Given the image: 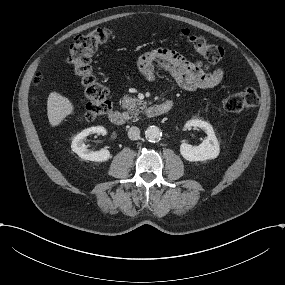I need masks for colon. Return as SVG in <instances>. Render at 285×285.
<instances>
[{"label": "colon", "instance_id": "colon-1", "mask_svg": "<svg viewBox=\"0 0 285 285\" xmlns=\"http://www.w3.org/2000/svg\"><path fill=\"white\" fill-rule=\"evenodd\" d=\"M183 35L188 39L192 48L206 59L210 64L220 63L224 56V49L207 42L204 38L183 30ZM111 36L108 28H95L76 37L67 58L73 72L79 80L86 99L85 111L82 120L92 121L110 111L112 105L109 101L108 89L95 77L92 69V58L96 51L105 44ZM41 76L36 77V82ZM258 104V94L252 88H246L232 93L223 99L225 110L233 113L254 108Z\"/></svg>", "mask_w": 285, "mask_h": 285}]
</instances>
